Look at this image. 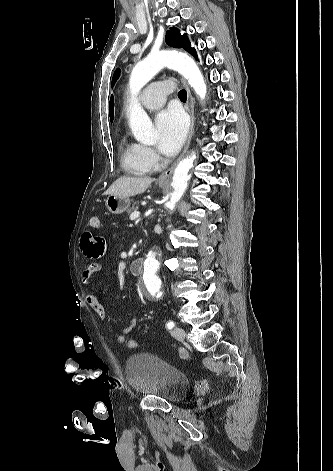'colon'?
I'll return each mask as SVG.
<instances>
[{
  "instance_id": "obj_1",
  "label": "colon",
  "mask_w": 333,
  "mask_h": 471,
  "mask_svg": "<svg viewBox=\"0 0 333 471\" xmlns=\"http://www.w3.org/2000/svg\"><path fill=\"white\" fill-rule=\"evenodd\" d=\"M99 225H100L99 216L94 215L89 219V226L91 228H98ZM125 344L129 349H136L138 347V342L134 339L127 340V342Z\"/></svg>"
}]
</instances>
